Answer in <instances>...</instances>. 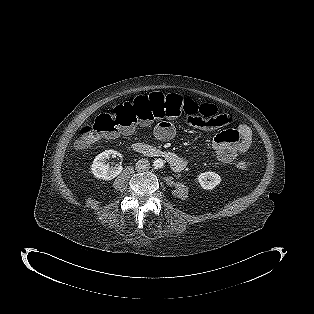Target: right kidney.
I'll return each mask as SVG.
<instances>
[{"instance_id":"right-kidney-1","label":"right kidney","mask_w":314,"mask_h":314,"mask_svg":"<svg viewBox=\"0 0 314 314\" xmlns=\"http://www.w3.org/2000/svg\"><path fill=\"white\" fill-rule=\"evenodd\" d=\"M110 156L122 157L121 154L115 150H106L95 157L91 166V170L96 178L111 180L117 177L122 172L123 168L121 164L115 167H110L109 164L105 163Z\"/></svg>"}]
</instances>
